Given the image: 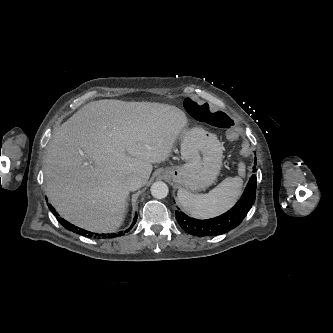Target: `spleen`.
Returning a JSON list of instances; mask_svg holds the SVG:
<instances>
[{"label":"spleen","mask_w":333,"mask_h":333,"mask_svg":"<svg viewBox=\"0 0 333 333\" xmlns=\"http://www.w3.org/2000/svg\"><path fill=\"white\" fill-rule=\"evenodd\" d=\"M239 175H245V166L239 164ZM243 185L241 177H229L207 194H192L184 189L178 190V200L184 210L195 218H211L224 213L238 199Z\"/></svg>","instance_id":"1"}]
</instances>
